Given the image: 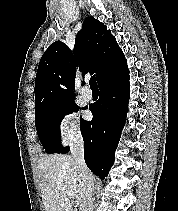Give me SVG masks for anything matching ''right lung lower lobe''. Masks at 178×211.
Returning a JSON list of instances; mask_svg holds the SVG:
<instances>
[{
    "label": "right lung lower lobe",
    "instance_id": "obj_1",
    "mask_svg": "<svg viewBox=\"0 0 178 211\" xmlns=\"http://www.w3.org/2000/svg\"><path fill=\"white\" fill-rule=\"evenodd\" d=\"M99 100L90 108L93 119L81 123L84 140V158L88 168L103 180L115 158L121 131L128 112L129 71L125 69L99 84ZM60 148L55 153H67Z\"/></svg>",
    "mask_w": 178,
    "mask_h": 211
}]
</instances>
